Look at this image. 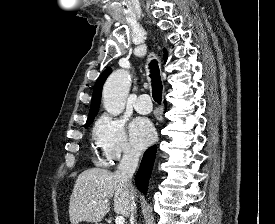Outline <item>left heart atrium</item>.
<instances>
[{"mask_svg":"<svg viewBox=\"0 0 275 224\" xmlns=\"http://www.w3.org/2000/svg\"><path fill=\"white\" fill-rule=\"evenodd\" d=\"M155 131L150 123L145 118H137L130 125V138L133 145L138 149H144L153 140Z\"/></svg>","mask_w":275,"mask_h":224,"instance_id":"1","label":"left heart atrium"}]
</instances>
